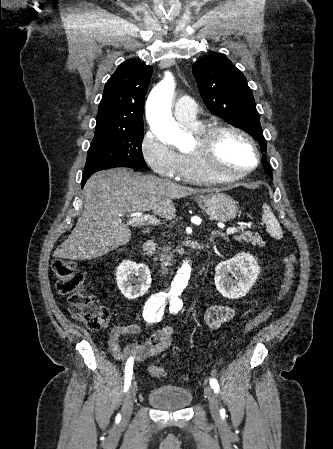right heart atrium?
Instances as JSON below:
<instances>
[{"instance_id": "d8ad5b80", "label": "right heart atrium", "mask_w": 333, "mask_h": 449, "mask_svg": "<svg viewBox=\"0 0 333 449\" xmlns=\"http://www.w3.org/2000/svg\"><path fill=\"white\" fill-rule=\"evenodd\" d=\"M143 159L159 176L178 178L180 158L170 145L160 140L153 132L147 131L141 141Z\"/></svg>"}]
</instances>
